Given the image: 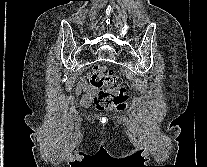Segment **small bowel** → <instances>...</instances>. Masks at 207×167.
<instances>
[{"mask_svg": "<svg viewBox=\"0 0 207 167\" xmlns=\"http://www.w3.org/2000/svg\"><path fill=\"white\" fill-rule=\"evenodd\" d=\"M81 91H84V95L79 98ZM74 94L82 105H88L96 94V88L90 84L87 78H84L76 86Z\"/></svg>", "mask_w": 207, "mask_h": 167, "instance_id": "obj_1", "label": "small bowel"}]
</instances>
